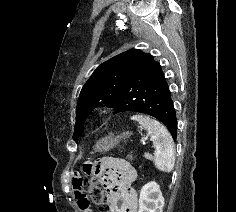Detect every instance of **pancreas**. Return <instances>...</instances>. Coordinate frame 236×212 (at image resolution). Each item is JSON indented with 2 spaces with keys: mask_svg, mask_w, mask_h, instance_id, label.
Listing matches in <instances>:
<instances>
[{
  "mask_svg": "<svg viewBox=\"0 0 236 212\" xmlns=\"http://www.w3.org/2000/svg\"><path fill=\"white\" fill-rule=\"evenodd\" d=\"M147 159L151 160L152 159V156L151 155H146L145 156Z\"/></svg>",
  "mask_w": 236,
  "mask_h": 212,
  "instance_id": "1",
  "label": "pancreas"
}]
</instances>
